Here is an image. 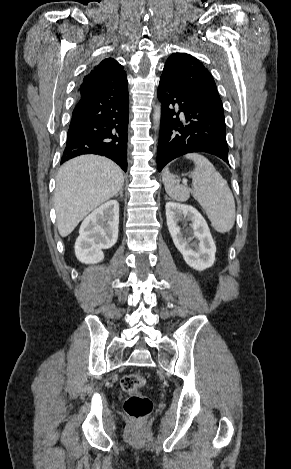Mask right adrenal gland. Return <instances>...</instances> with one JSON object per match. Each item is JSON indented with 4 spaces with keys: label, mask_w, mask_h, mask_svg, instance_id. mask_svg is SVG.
<instances>
[{
    "label": "right adrenal gland",
    "mask_w": 291,
    "mask_h": 469,
    "mask_svg": "<svg viewBox=\"0 0 291 469\" xmlns=\"http://www.w3.org/2000/svg\"><path fill=\"white\" fill-rule=\"evenodd\" d=\"M118 195H120V197L123 198V188L115 196L117 197Z\"/></svg>",
    "instance_id": "obj_1"
}]
</instances>
